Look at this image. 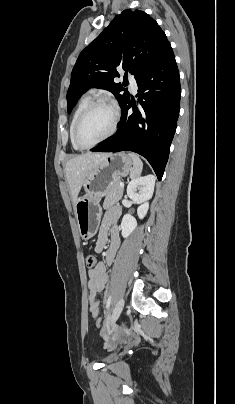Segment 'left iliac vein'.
<instances>
[{
    "mask_svg": "<svg viewBox=\"0 0 235 404\" xmlns=\"http://www.w3.org/2000/svg\"><path fill=\"white\" fill-rule=\"evenodd\" d=\"M123 307H124V299L121 298L117 302V304H116V306H115V308L113 310L112 316L109 319V322H108L109 326H112L113 324H115V322L117 321Z\"/></svg>",
    "mask_w": 235,
    "mask_h": 404,
    "instance_id": "4c4485c4",
    "label": "left iliac vein"
}]
</instances>
